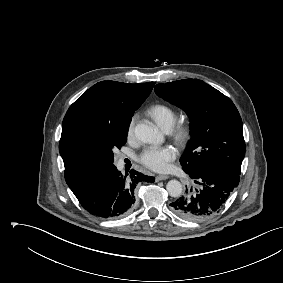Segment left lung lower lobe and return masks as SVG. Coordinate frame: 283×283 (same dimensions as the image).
<instances>
[{
	"mask_svg": "<svg viewBox=\"0 0 283 283\" xmlns=\"http://www.w3.org/2000/svg\"><path fill=\"white\" fill-rule=\"evenodd\" d=\"M184 171L196 185L170 207L174 214L188 221H203L218 213L240 180L239 175L221 169Z\"/></svg>",
	"mask_w": 283,
	"mask_h": 283,
	"instance_id": "left-lung-lower-lobe-1",
	"label": "left lung lower lobe"
}]
</instances>
